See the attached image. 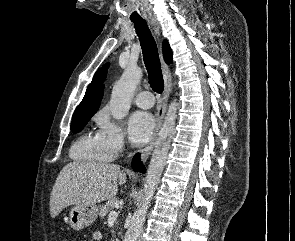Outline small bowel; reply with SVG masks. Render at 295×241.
<instances>
[{
    "label": "small bowel",
    "mask_w": 295,
    "mask_h": 241,
    "mask_svg": "<svg viewBox=\"0 0 295 241\" xmlns=\"http://www.w3.org/2000/svg\"><path fill=\"white\" fill-rule=\"evenodd\" d=\"M101 238H102V234H101V232H99V231H94V232L92 233V240H93V241H100Z\"/></svg>",
    "instance_id": "c3829d8e"
}]
</instances>
